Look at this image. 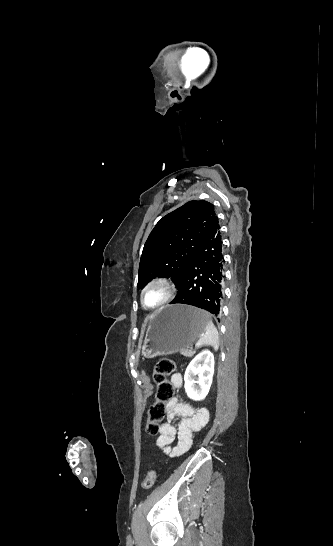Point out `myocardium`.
<instances>
[{
    "label": "myocardium",
    "mask_w": 333,
    "mask_h": 546,
    "mask_svg": "<svg viewBox=\"0 0 333 546\" xmlns=\"http://www.w3.org/2000/svg\"><path fill=\"white\" fill-rule=\"evenodd\" d=\"M154 285L162 286L166 290V296L163 299V301L160 302L158 305L149 306L146 303L145 294H146L147 290L150 287L154 286ZM175 292H176V287H175L174 283L169 278L164 277V276H157V277H154L151 280H149L146 283V285L143 287V289L141 290V294H140L141 303H142V305L144 307H146L148 309H159V308L165 306L166 304H168L171 301V299L174 297Z\"/></svg>",
    "instance_id": "myocardium-1"
}]
</instances>
